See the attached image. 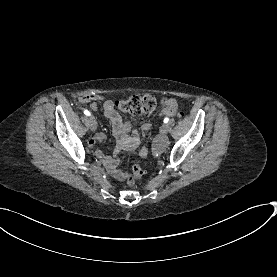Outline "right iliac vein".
Wrapping results in <instances>:
<instances>
[{
	"mask_svg": "<svg viewBox=\"0 0 277 277\" xmlns=\"http://www.w3.org/2000/svg\"><path fill=\"white\" fill-rule=\"evenodd\" d=\"M89 127L91 129V131L95 132L97 129V123L94 117H90L89 118Z\"/></svg>",
	"mask_w": 277,
	"mask_h": 277,
	"instance_id": "obj_1",
	"label": "right iliac vein"
}]
</instances>
